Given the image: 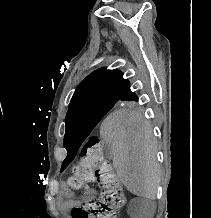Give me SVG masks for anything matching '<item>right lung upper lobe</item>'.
<instances>
[{"mask_svg": "<svg viewBox=\"0 0 211 218\" xmlns=\"http://www.w3.org/2000/svg\"><path fill=\"white\" fill-rule=\"evenodd\" d=\"M128 87L129 82L123 79L121 71L98 69L77 87L69 108L93 100L125 99L122 96Z\"/></svg>", "mask_w": 211, "mask_h": 218, "instance_id": "right-lung-upper-lobe-1", "label": "right lung upper lobe"}]
</instances>
